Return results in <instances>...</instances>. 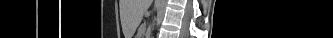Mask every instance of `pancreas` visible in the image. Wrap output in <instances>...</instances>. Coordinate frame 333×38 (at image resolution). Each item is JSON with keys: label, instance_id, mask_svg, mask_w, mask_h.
Returning a JSON list of instances; mask_svg holds the SVG:
<instances>
[{"label": "pancreas", "instance_id": "obj_1", "mask_svg": "<svg viewBox=\"0 0 333 38\" xmlns=\"http://www.w3.org/2000/svg\"><path fill=\"white\" fill-rule=\"evenodd\" d=\"M142 31H143V28L140 29V33H142Z\"/></svg>", "mask_w": 333, "mask_h": 38}]
</instances>
